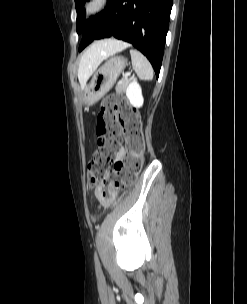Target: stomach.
<instances>
[{
  "label": "stomach",
  "mask_w": 247,
  "mask_h": 304,
  "mask_svg": "<svg viewBox=\"0 0 247 304\" xmlns=\"http://www.w3.org/2000/svg\"><path fill=\"white\" fill-rule=\"evenodd\" d=\"M126 65L127 59L123 56L109 58L95 71L90 83L84 89L82 104L89 107L103 97L112 88Z\"/></svg>",
  "instance_id": "obj_1"
}]
</instances>
